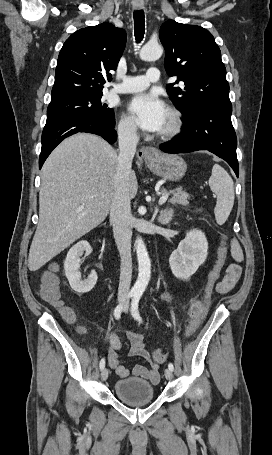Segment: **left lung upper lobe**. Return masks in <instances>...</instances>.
Returning a JSON list of instances; mask_svg holds the SVG:
<instances>
[{
  "label": "left lung upper lobe",
  "instance_id": "5c2ea615",
  "mask_svg": "<svg viewBox=\"0 0 272 455\" xmlns=\"http://www.w3.org/2000/svg\"><path fill=\"white\" fill-rule=\"evenodd\" d=\"M160 41L165 47V69L169 76H177L183 87L167 85V92L183 119L199 108L213 104H231L226 68L212 34L197 25L162 24Z\"/></svg>",
  "mask_w": 272,
  "mask_h": 455
}]
</instances>
